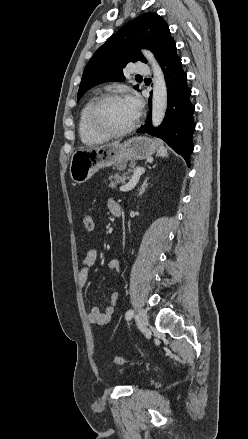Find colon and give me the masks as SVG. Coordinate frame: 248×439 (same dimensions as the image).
Returning <instances> with one entry per match:
<instances>
[{"instance_id":"colon-1","label":"colon","mask_w":248,"mask_h":439,"mask_svg":"<svg viewBox=\"0 0 248 439\" xmlns=\"http://www.w3.org/2000/svg\"><path fill=\"white\" fill-rule=\"evenodd\" d=\"M83 225L87 232H92L95 226L94 218L90 213H86L83 217ZM113 362L117 365H123L125 363V359L120 356H114Z\"/></svg>"}]
</instances>
